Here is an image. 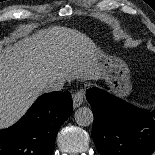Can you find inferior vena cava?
<instances>
[{
    "label": "inferior vena cava",
    "mask_w": 155,
    "mask_h": 155,
    "mask_svg": "<svg viewBox=\"0 0 155 155\" xmlns=\"http://www.w3.org/2000/svg\"><path fill=\"white\" fill-rule=\"evenodd\" d=\"M64 83L60 81H50L43 88L44 92L61 91L63 89Z\"/></svg>",
    "instance_id": "obj_1"
}]
</instances>
